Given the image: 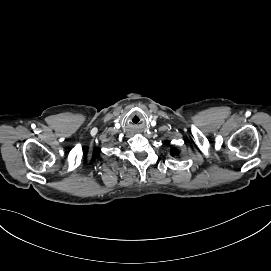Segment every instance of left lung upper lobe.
<instances>
[{
	"mask_svg": "<svg viewBox=\"0 0 271 271\" xmlns=\"http://www.w3.org/2000/svg\"><path fill=\"white\" fill-rule=\"evenodd\" d=\"M178 153H179L178 149H176V148L171 149V154L172 155H177Z\"/></svg>",
	"mask_w": 271,
	"mask_h": 271,
	"instance_id": "obj_1",
	"label": "left lung upper lobe"
}]
</instances>
